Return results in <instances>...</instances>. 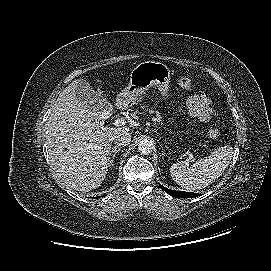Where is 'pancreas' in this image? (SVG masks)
Masks as SVG:
<instances>
[{"instance_id":"obj_1","label":"pancreas","mask_w":271,"mask_h":271,"mask_svg":"<svg viewBox=\"0 0 271 271\" xmlns=\"http://www.w3.org/2000/svg\"><path fill=\"white\" fill-rule=\"evenodd\" d=\"M150 113H154L157 118H160V113L154 110H149Z\"/></svg>"}]
</instances>
